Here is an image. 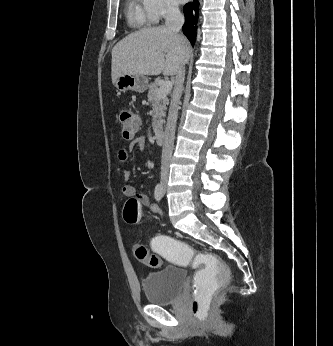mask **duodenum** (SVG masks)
Wrapping results in <instances>:
<instances>
[{"label":"duodenum","instance_id":"obj_1","mask_svg":"<svg viewBox=\"0 0 333 346\" xmlns=\"http://www.w3.org/2000/svg\"><path fill=\"white\" fill-rule=\"evenodd\" d=\"M154 137L157 143L161 144L164 142V131L160 128L154 131Z\"/></svg>","mask_w":333,"mask_h":346}]
</instances>
